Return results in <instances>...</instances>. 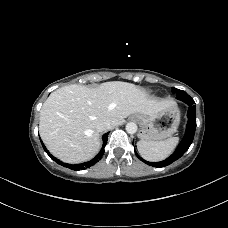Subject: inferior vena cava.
Returning a JSON list of instances; mask_svg holds the SVG:
<instances>
[{
  "instance_id": "inferior-vena-cava-1",
  "label": "inferior vena cava",
  "mask_w": 228,
  "mask_h": 228,
  "mask_svg": "<svg viewBox=\"0 0 228 228\" xmlns=\"http://www.w3.org/2000/svg\"><path fill=\"white\" fill-rule=\"evenodd\" d=\"M112 127H111V124L109 122H101L98 126H97V130L99 132H102V131H107V130H110Z\"/></svg>"
}]
</instances>
